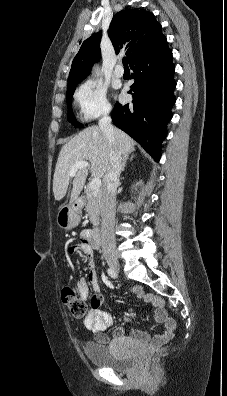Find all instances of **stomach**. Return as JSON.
I'll list each match as a JSON object with an SVG mask.
<instances>
[{"label": "stomach", "instance_id": "stomach-1", "mask_svg": "<svg viewBox=\"0 0 227 396\" xmlns=\"http://www.w3.org/2000/svg\"><path fill=\"white\" fill-rule=\"evenodd\" d=\"M81 208L82 204L79 200L61 207L57 214V225L64 230H71L76 227L80 222Z\"/></svg>", "mask_w": 227, "mask_h": 396}]
</instances>
